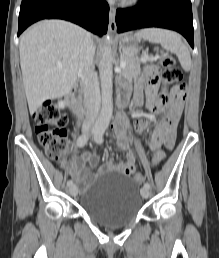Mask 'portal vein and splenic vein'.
<instances>
[{"label": "portal vein and splenic vein", "mask_w": 219, "mask_h": 258, "mask_svg": "<svg viewBox=\"0 0 219 258\" xmlns=\"http://www.w3.org/2000/svg\"><path fill=\"white\" fill-rule=\"evenodd\" d=\"M149 57L147 56V55H144V56H142L141 57V60H145V59H148ZM125 66H126V62H121L120 63V67L123 69V68H125ZM58 68H62V65H58Z\"/></svg>", "instance_id": "portal-vein-and-splenic-vein-1"}]
</instances>
